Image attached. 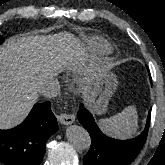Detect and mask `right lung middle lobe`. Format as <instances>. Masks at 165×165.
<instances>
[{
	"instance_id": "dd1d6c3e",
	"label": "right lung middle lobe",
	"mask_w": 165,
	"mask_h": 165,
	"mask_svg": "<svg viewBox=\"0 0 165 165\" xmlns=\"http://www.w3.org/2000/svg\"><path fill=\"white\" fill-rule=\"evenodd\" d=\"M4 38L0 35V44L3 43Z\"/></svg>"
}]
</instances>
